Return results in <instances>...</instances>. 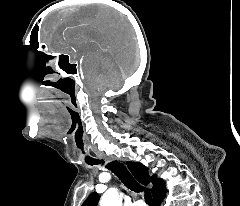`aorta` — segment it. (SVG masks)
<instances>
[{
	"instance_id": "aorta-1",
	"label": "aorta",
	"mask_w": 240,
	"mask_h": 206,
	"mask_svg": "<svg viewBox=\"0 0 240 206\" xmlns=\"http://www.w3.org/2000/svg\"><path fill=\"white\" fill-rule=\"evenodd\" d=\"M100 206H122L117 189L111 188L107 190L101 197Z\"/></svg>"
}]
</instances>
